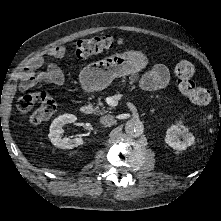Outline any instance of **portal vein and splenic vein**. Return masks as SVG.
<instances>
[{"mask_svg": "<svg viewBox=\"0 0 221 221\" xmlns=\"http://www.w3.org/2000/svg\"><path fill=\"white\" fill-rule=\"evenodd\" d=\"M121 95H115V96H112L111 98H110V105L111 106H116L117 105V103H118V101L121 99Z\"/></svg>", "mask_w": 221, "mask_h": 221, "instance_id": "obj_1", "label": "portal vein and splenic vein"}]
</instances>
